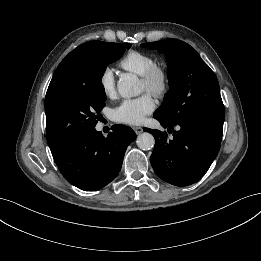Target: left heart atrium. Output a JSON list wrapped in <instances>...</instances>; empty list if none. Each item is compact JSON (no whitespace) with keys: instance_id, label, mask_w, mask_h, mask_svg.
Wrapping results in <instances>:
<instances>
[{"instance_id":"obj_1","label":"left heart atrium","mask_w":261,"mask_h":261,"mask_svg":"<svg viewBox=\"0 0 261 261\" xmlns=\"http://www.w3.org/2000/svg\"><path fill=\"white\" fill-rule=\"evenodd\" d=\"M155 109V103L151 96L142 95L138 98L122 101L112 111V117L116 122L138 125L141 124L147 115Z\"/></svg>"}]
</instances>
